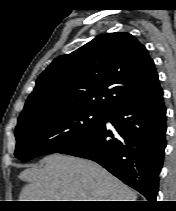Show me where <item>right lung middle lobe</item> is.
Masks as SVG:
<instances>
[{"label":"right lung middle lobe","mask_w":176,"mask_h":211,"mask_svg":"<svg viewBox=\"0 0 176 211\" xmlns=\"http://www.w3.org/2000/svg\"><path fill=\"white\" fill-rule=\"evenodd\" d=\"M85 107L51 109L18 119L15 156L23 161L58 152L74 144L106 118Z\"/></svg>","instance_id":"1"}]
</instances>
